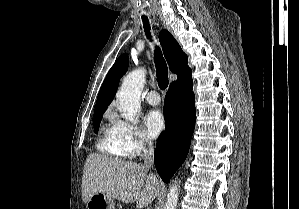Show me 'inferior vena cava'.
<instances>
[{
    "mask_svg": "<svg viewBox=\"0 0 299 209\" xmlns=\"http://www.w3.org/2000/svg\"><path fill=\"white\" fill-rule=\"evenodd\" d=\"M144 168L149 169L154 165V147L151 142H148V148L143 149Z\"/></svg>",
    "mask_w": 299,
    "mask_h": 209,
    "instance_id": "602c4592",
    "label": "inferior vena cava"
}]
</instances>
